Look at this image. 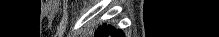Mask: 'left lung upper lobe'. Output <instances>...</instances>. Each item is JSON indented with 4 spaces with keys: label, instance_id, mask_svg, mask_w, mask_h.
<instances>
[{
    "label": "left lung upper lobe",
    "instance_id": "obj_1",
    "mask_svg": "<svg viewBox=\"0 0 219 37\" xmlns=\"http://www.w3.org/2000/svg\"><path fill=\"white\" fill-rule=\"evenodd\" d=\"M111 29V26H108L106 24H104L102 27H99L96 34L97 36H101L104 33L108 32Z\"/></svg>",
    "mask_w": 219,
    "mask_h": 37
}]
</instances>
